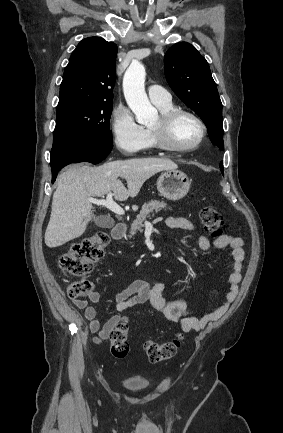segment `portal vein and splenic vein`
<instances>
[{
	"instance_id": "18ae733b",
	"label": "portal vein and splenic vein",
	"mask_w": 283,
	"mask_h": 433,
	"mask_svg": "<svg viewBox=\"0 0 283 433\" xmlns=\"http://www.w3.org/2000/svg\"><path fill=\"white\" fill-rule=\"evenodd\" d=\"M112 196V192H108L106 198H88V200L94 202V204H98V206H101V204L102 206H107V208H110V210H113L116 214H125L124 208L119 206L117 202H114ZM145 225H147V221H145Z\"/></svg>"
}]
</instances>
